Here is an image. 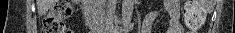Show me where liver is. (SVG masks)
Listing matches in <instances>:
<instances>
[{
	"label": "liver",
	"mask_w": 235,
	"mask_h": 33,
	"mask_svg": "<svg viewBox=\"0 0 235 33\" xmlns=\"http://www.w3.org/2000/svg\"><path fill=\"white\" fill-rule=\"evenodd\" d=\"M53 3V0H36L38 14L45 15Z\"/></svg>",
	"instance_id": "6515ba94"
}]
</instances>
